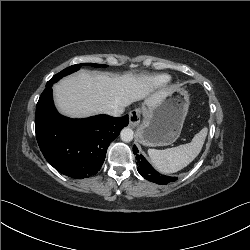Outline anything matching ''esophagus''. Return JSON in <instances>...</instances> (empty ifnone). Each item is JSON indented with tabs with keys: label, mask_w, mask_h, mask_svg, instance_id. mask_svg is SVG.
<instances>
[{
	"label": "esophagus",
	"mask_w": 250,
	"mask_h": 250,
	"mask_svg": "<svg viewBox=\"0 0 250 250\" xmlns=\"http://www.w3.org/2000/svg\"><path fill=\"white\" fill-rule=\"evenodd\" d=\"M141 116H142V110L140 108H136V109L132 110L129 113L130 125L132 127H136L140 123Z\"/></svg>",
	"instance_id": "obj_1"
}]
</instances>
